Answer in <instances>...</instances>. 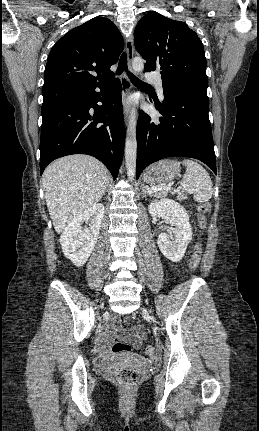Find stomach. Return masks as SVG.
Returning <instances> with one entry per match:
<instances>
[{
  "label": "stomach",
  "instance_id": "0dacf381",
  "mask_svg": "<svg viewBox=\"0 0 259 431\" xmlns=\"http://www.w3.org/2000/svg\"><path fill=\"white\" fill-rule=\"evenodd\" d=\"M179 172V162L164 159L148 167L143 175V180L150 185L162 184L171 181Z\"/></svg>",
  "mask_w": 259,
  "mask_h": 431
}]
</instances>
